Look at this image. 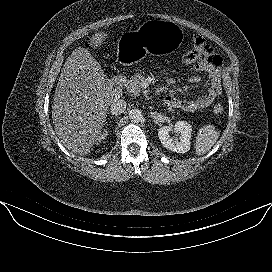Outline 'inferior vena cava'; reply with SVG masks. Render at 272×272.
I'll use <instances>...</instances> for the list:
<instances>
[{"label":"inferior vena cava","mask_w":272,"mask_h":272,"mask_svg":"<svg viewBox=\"0 0 272 272\" xmlns=\"http://www.w3.org/2000/svg\"><path fill=\"white\" fill-rule=\"evenodd\" d=\"M127 103L123 99H115L110 106L113 115H120L126 110Z\"/></svg>","instance_id":"1"}]
</instances>
